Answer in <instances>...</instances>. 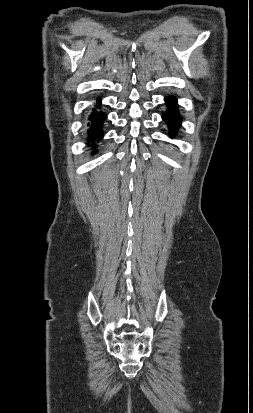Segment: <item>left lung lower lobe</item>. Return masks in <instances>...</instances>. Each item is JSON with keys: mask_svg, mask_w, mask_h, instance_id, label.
Segmentation results:
<instances>
[{"mask_svg": "<svg viewBox=\"0 0 253 413\" xmlns=\"http://www.w3.org/2000/svg\"><path fill=\"white\" fill-rule=\"evenodd\" d=\"M169 110L164 114L163 120L169 125L172 132L177 131L181 124V117L177 111V101L175 98L167 97Z\"/></svg>", "mask_w": 253, "mask_h": 413, "instance_id": "1", "label": "left lung lower lobe"}]
</instances>
